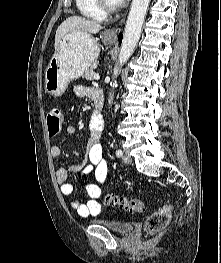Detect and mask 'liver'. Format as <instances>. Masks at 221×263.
Here are the masks:
<instances>
[{
  "label": "liver",
  "instance_id": "liver-1",
  "mask_svg": "<svg viewBox=\"0 0 221 263\" xmlns=\"http://www.w3.org/2000/svg\"><path fill=\"white\" fill-rule=\"evenodd\" d=\"M102 29V26L94 21L79 17L71 16L61 23L55 35V49L61 43L63 37L75 31L85 32L88 34H97Z\"/></svg>",
  "mask_w": 221,
  "mask_h": 263
}]
</instances>
